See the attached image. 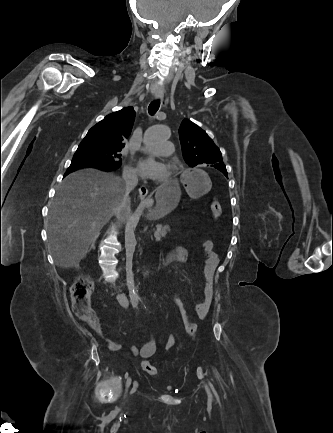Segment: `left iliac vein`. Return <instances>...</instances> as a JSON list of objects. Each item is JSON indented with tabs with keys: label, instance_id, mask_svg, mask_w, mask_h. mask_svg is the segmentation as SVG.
I'll use <instances>...</instances> for the list:
<instances>
[{
	"label": "left iliac vein",
	"instance_id": "obj_1",
	"mask_svg": "<svg viewBox=\"0 0 333 433\" xmlns=\"http://www.w3.org/2000/svg\"><path fill=\"white\" fill-rule=\"evenodd\" d=\"M204 386H205V389H206L207 393H210V390H209V388L207 387V385H204Z\"/></svg>",
	"mask_w": 333,
	"mask_h": 433
}]
</instances>
